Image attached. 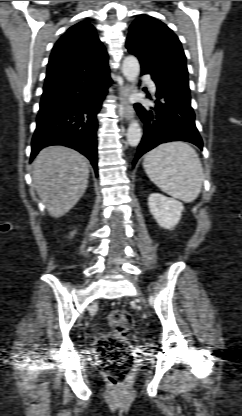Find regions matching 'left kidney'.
Instances as JSON below:
<instances>
[{
	"label": "left kidney",
	"instance_id": "left-kidney-1",
	"mask_svg": "<svg viewBox=\"0 0 242 416\" xmlns=\"http://www.w3.org/2000/svg\"><path fill=\"white\" fill-rule=\"evenodd\" d=\"M148 206L158 225L169 230L178 224L184 209L181 202L159 193H152L149 196Z\"/></svg>",
	"mask_w": 242,
	"mask_h": 416
}]
</instances>
